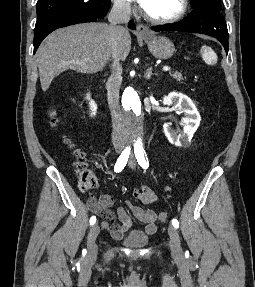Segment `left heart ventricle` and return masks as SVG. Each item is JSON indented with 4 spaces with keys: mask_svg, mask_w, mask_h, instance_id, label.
Listing matches in <instances>:
<instances>
[{
    "mask_svg": "<svg viewBox=\"0 0 255 287\" xmlns=\"http://www.w3.org/2000/svg\"><path fill=\"white\" fill-rule=\"evenodd\" d=\"M149 33H168V32H149ZM153 39H166V38H153ZM152 48H167V47H152Z\"/></svg>",
    "mask_w": 255,
    "mask_h": 287,
    "instance_id": "1",
    "label": "left heart ventricle"
}]
</instances>
